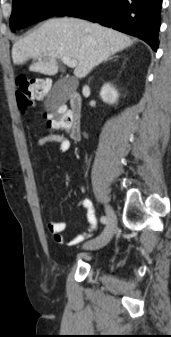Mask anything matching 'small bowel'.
Instances as JSON below:
<instances>
[{"label": "small bowel", "instance_id": "c3829d8e", "mask_svg": "<svg viewBox=\"0 0 171 337\" xmlns=\"http://www.w3.org/2000/svg\"><path fill=\"white\" fill-rule=\"evenodd\" d=\"M55 144L61 151L67 152L71 149L70 140L63 134H48L42 138H40L37 142L36 149L38 153V158L43 161L44 153L43 149L47 144ZM83 207L87 210V221H88V229L73 238H66L64 236V232L67 229V223L62 221H54L50 220L47 224L48 230L53 235L56 242L59 244L72 246L79 244L89 238H91L96 230H97V221L96 215L93 208V205L90 200L84 199L82 201Z\"/></svg>", "mask_w": 171, "mask_h": 337}]
</instances>
